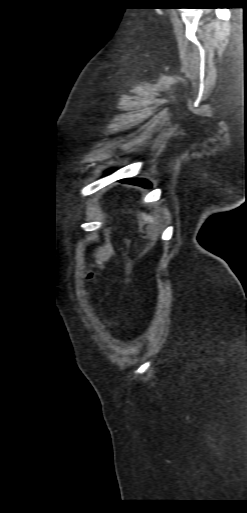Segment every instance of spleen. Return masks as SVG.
Listing matches in <instances>:
<instances>
[{
	"label": "spleen",
	"instance_id": "spleen-1",
	"mask_svg": "<svg viewBox=\"0 0 247 513\" xmlns=\"http://www.w3.org/2000/svg\"><path fill=\"white\" fill-rule=\"evenodd\" d=\"M141 216L143 217V219H144L145 221H148V222H151V223H153V222H154V218H153L152 216H150V215H147V214H145V213H142V214H141Z\"/></svg>",
	"mask_w": 247,
	"mask_h": 513
}]
</instances>
